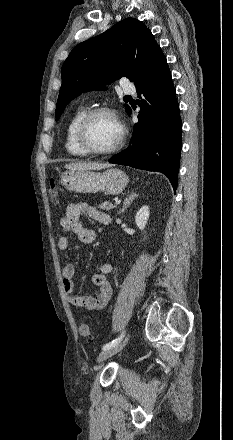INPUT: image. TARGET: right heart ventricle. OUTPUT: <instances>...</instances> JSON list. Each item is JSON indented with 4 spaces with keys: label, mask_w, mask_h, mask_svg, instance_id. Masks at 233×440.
<instances>
[{
    "label": "right heart ventricle",
    "mask_w": 233,
    "mask_h": 440,
    "mask_svg": "<svg viewBox=\"0 0 233 440\" xmlns=\"http://www.w3.org/2000/svg\"><path fill=\"white\" fill-rule=\"evenodd\" d=\"M86 112V107H79L72 115L66 128L65 148L70 155L75 157H85L87 155L81 150L76 142V128Z\"/></svg>",
    "instance_id": "obj_1"
}]
</instances>
